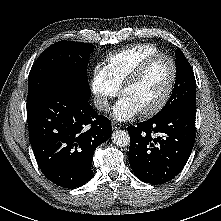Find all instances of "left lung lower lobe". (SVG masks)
<instances>
[{
    "mask_svg": "<svg viewBox=\"0 0 221 221\" xmlns=\"http://www.w3.org/2000/svg\"><path fill=\"white\" fill-rule=\"evenodd\" d=\"M129 162L141 181L164 184L183 169L195 142V109L179 108L129 126Z\"/></svg>",
    "mask_w": 221,
    "mask_h": 221,
    "instance_id": "0a47b994",
    "label": "left lung lower lobe"
}]
</instances>
